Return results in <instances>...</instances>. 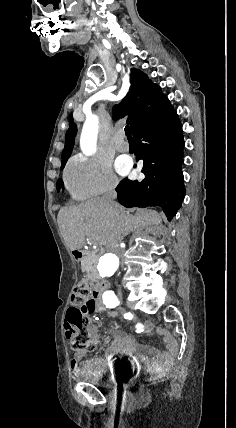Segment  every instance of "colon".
Masks as SVG:
<instances>
[{
	"mask_svg": "<svg viewBox=\"0 0 236 428\" xmlns=\"http://www.w3.org/2000/svg\"><path fill=\"white\" fill-rule=\"evenodd\" d=\"M100 306L93 298L86 281L78 282L71 293V306L67 311L64 328L73 350L92 351L97 345V333L90 316Z\"/></svg>",
	"mask_w": 236,
	"mask_h": 428,
	"instance_id": "1",
	"label": "colon"
}]
</instances>
